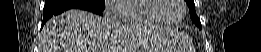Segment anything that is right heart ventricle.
I'll return each mask as SVG.
<instances>
[{
    "instance_id": "1",
    "label": "right heart ventricle",
    "mask_w": 261,
    "mask_h": 52,
    "mask_svg": "<svg viewBox=\"0 0 261 52\" xmlns=\"http://www.w3.org/2000/svg\"><path fill=\"white\" fill-rule=\"evenodd\" d=\"M156 0H125L115 7L120 20L131 24H165L155 7Z\"/></svg>"
}]
</instances>
